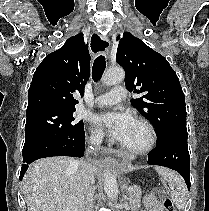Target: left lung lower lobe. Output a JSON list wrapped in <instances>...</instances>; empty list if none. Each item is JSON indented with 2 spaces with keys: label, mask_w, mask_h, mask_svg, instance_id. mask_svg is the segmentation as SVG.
<instances>
[{
  "label": "left lung lower lobe",
  "mask_w": 209,
  "mask_h": 211,
  "mask_svg": "<svg viewBox=\"0 0 209 211\" xmlns=\"http://www.w3.org/2000/svg\"><path fill=\"white\" fill-rule=\"evenodd\" d=\"M190 156L187 146V130H176L157 143L148 154V164L171 168L179 172L190 189Z\"/></svg>",
  "instance_id": "0a47b994"
}]
</instances>
